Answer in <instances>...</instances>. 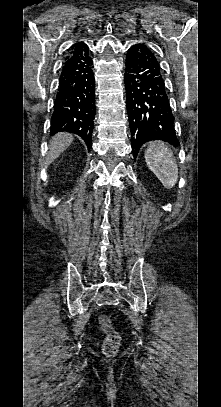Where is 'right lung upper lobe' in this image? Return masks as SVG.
<instances>
[{
	"label": "right lung upper lobe",
	"instance_id": "right-lung-upper-lobe-1",
	"mask_svg": "<svg viewBox=\"0 0 221 407\" xmlns=\"http://www.w3.org/2000/svg\"><path fill=\"white\" fill-rule=\"evenodd\" d=\"M82 45H84V43H82V42L75 43L74 45L71 46V48H70V53H71L72 51H74L75 49L80 48Z\"/></svg>",
	"mask_w": 221,
	"mask_h": 407
}]
</instances>
